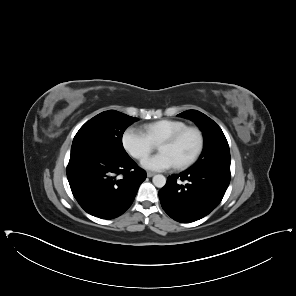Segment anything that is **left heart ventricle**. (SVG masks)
Wrapping results in <instances>:
<instances>
[{"label": "left heart ventricle", "instance_id": "obj_1", "mask_svg": "<svg viewBox=\"0 0 296 296\" xmlns=\"http://www.w3.org/2000/svg\"><path fill=\"white\" fill-rule=\"evenodd\" d=\"M196 145V136L194 134H188L177 145L165 150L175 162L188 157L194 150Z\"/></svg>", "mask_w": 296, "mask_h": 296}]
</instances>
